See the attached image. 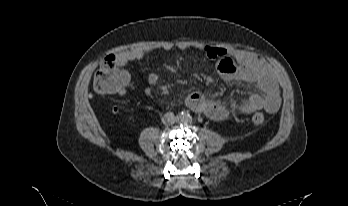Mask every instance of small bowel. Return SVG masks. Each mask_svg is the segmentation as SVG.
I'll use <instances>...</instances> for the list:
<instances>
[{
  "mask_svg": "<svg viewBox=\"0 0 348 206\" xmlns=\"http://www.w3.org/2000/svg\"><path fill=\"white\" fill-rule=\"evenodd\" d=\"M177 48L182 51L191 48L202 50L208 59L216 61L217 71L225 81L253 83L262 92V94L251 95L245 102L232 109L222 103L206 99L199 92H193L187 99L188 105L193 110L203 112L211 119L217 121L231 120L240 115L251 114L257 110H265L269 114H274L279 110L281 98L278 83L272 68L262 59L243 50H227L215 45H196L189 41L178 42ZM169 49H171L170 46L136 48L121 53L118 56V62L120 65L125 66L148 55ZM159 79V75L156 73L147 75L148 87L145 89L147 94L152 93L153 86L159 82ZM118 94L124 95L125 89H122Z\"/></svg>",
  "mask_w": 348,
  "mask_h": 206,
  "instance_id": "obj_1",
  "label": "small bowel"
}]
</instances>
